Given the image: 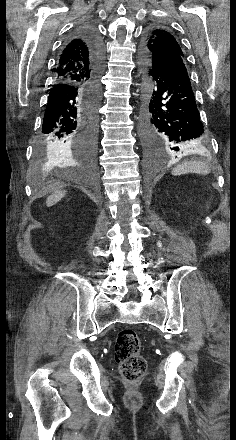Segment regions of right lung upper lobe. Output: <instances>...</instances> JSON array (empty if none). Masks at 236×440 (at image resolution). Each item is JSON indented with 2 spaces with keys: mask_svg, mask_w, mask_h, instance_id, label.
<instances>
[{
  "mask_svg": "<svg viewBox=\"0 0 236 440\" xmlns=\"http://www.w3.org/2000/svg\"><path fill=\"white\" fill-rule=\"evenodd\" d=\"M55 72V84L90 82L92 63L89 50L82 39L74 38L66 44L58 59Z\"/></svg>",
  "mask_w": 236,
  "mask_h": 440,
  "instance_id": "right-lung-upper-lobe-1",
  "label": "right lung upper lobe"
}]
</instances>
